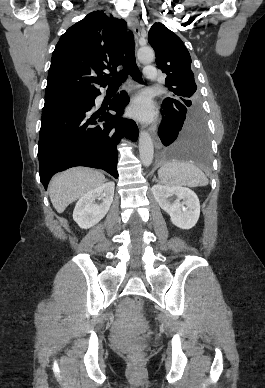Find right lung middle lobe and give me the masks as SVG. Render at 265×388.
<instances>
[{"mask_svg": "<svg viewBox=\"0 0 265 388\" xmlns=\"http://www.w3.org/2000/svg\"><path fill=\"white\" fill-rule=\"evenodd\" d=\"M86 96H71V97H61V98H54V99H48L45 100V104L43 107V110H48L53 107L59 106L64 103H68L75 100H80Z\"/></svg>", "mask_w": 265, "mask_h": 388, "instance_id": "1", "label": "right lung middle lobe"}]
</instances>
